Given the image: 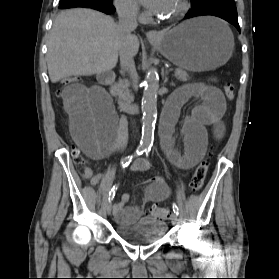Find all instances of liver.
Listing matches in <instances>:
<instances>
[{
    "label": "liver",
    "instance_id": "1",
    "mask_svg": "<svg viewBox=\"0 0 279 279\" xmlns=\"http://www.w3.org/2000/svg\"><path fill=\"white\" fill-rule=\"evenodd\" d=\"M119 40V28L112 17L92 9L62 11L53 23L47 44L51 82L112 70L118 62ZM128 46L134 57L139 51L135 35L128 38Z\"/></svg>",
    "mask_w": 279,
    "mask_h": 279
}]
</instances>
